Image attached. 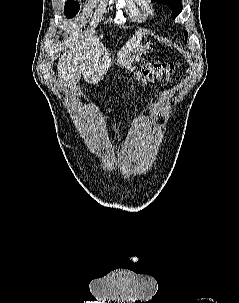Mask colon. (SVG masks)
Here are the masks:
<instances>
[{
	"instance_id": "5ec220e1",
	"label": "colon",
	"mask_w": 239,
	"mask_h": 303,
	"mask_svg": "<svg viewBox=\"0 0 239 303\" xmlns=\"http://www.w3.org/2000/svg\"><path fill=\"white\" fill-rule=\"evenodd\" d=\"M174 72L175 67L172 63L158 62L145 64L137 73L136 87H146L158 80H169Z\"/></svg>"
}]
</instances>
